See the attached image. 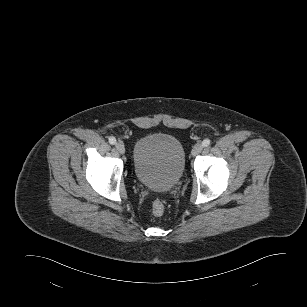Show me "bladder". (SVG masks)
<instances>
[{
	"mask_svg": "<svg viewBox=\"0 0 307 307\" xmlns=\"http://www.w3.org/2000/svg\"><path fill=\"white\" fill-rule=\"evenodd\" d=\"M185 150L174 136L155 133L140 138L133 150V171L137 180L155 191L176 186L185 171Z\"/></svg>",
	"mask_w": 307,
	"mask_h": 307,
	"instance_id": "31cf9c89",
	"label": "bladder"
}]
</instances>
